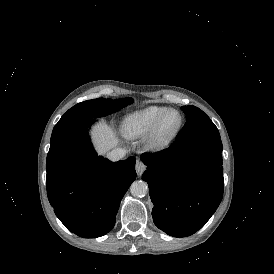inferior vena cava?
Returning <instances> with one entry per match:
<instances>
[{
	"instance_id": "1",
	"label": "inferior vena cava",
	"mask_w": 274,
	"mask_h": 274,
	"mask_svg": "<svg viewBox=\"0 0 274 274\" xmlns=\"http://www.w3.org/2000/svg\"><path fill=\"white\" fill-rule=\"evenodd\" d=\"M127 154V151L125 149L116 147L113 150L109 151L107 153L108 158H110L113 161H117L120 159H123Z\"/></svg>"
}]
</instances>
